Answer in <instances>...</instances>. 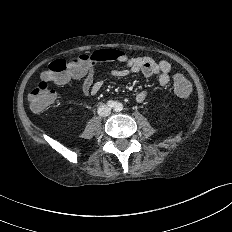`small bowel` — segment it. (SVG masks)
I'll list each match as a JSON object with an SVG mask.
<instances>
[{"mask_svg":"<svg viewBox=\"0 0 232 232\" xmlns=\"http://www.w3.org/2000/svg\"><path fill=\"white\" fill-rule=\"evenodd\" d=\"M112 58L108 61L125 64L124 68L111 69L107 71V77L123 78L132 73H141L146 78L158 76V82L161 86H166L170 81L171 64L167 60L156 61L151 57H129L124 51L110 49ZM70 77L82 80V93L84 96L96 95L103 86L102 78L95 79L94 69L90 68L81 73L70 72L69 74L58 80L57 84H65ZM148 91L141 89L136 94V101L142 103L146 100Z\"/></svg>","mask_w":232,"mask_h":232,"instance_id":"small-bowel-1","label":"small bowel"}]
</instances>
